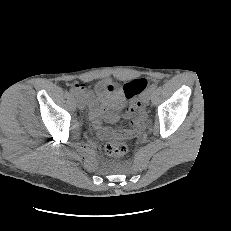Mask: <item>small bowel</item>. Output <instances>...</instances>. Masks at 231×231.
Returning a JSON list of instances; mask_svg holds the SVG:
<instances>
[{"mask_svg": "<svg viewBox=\"0 0 231 231\" xmlns=\"http://www.w3.org/2000/svg\"><path fill=\"white\" fill-rule=\"evenodd\" d=\"M78 89L83 91L87 98L89 115L94 128L98 131V135L102 140L108 139L110 137L119 138L123 134H128L130 131L121 132L114 130L109 124H115L120 121L121 116L119 114L113 113L110 110L102 107L97 99L92 95V93L85 89L83 86H76ZM126 119L135 118L136 126H141L144 121V115L142 113L135 115V110H131L130 107L127 109L126 113L123 115Z\"/></svg>", "mask_w": 231, "mask_h": 231, "instance_id": "small-bowel-1", "label": "small bowel"}]
</instances>
